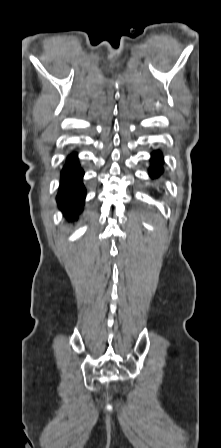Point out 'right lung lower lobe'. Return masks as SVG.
I'll return each instance as SVG.
<instances>
[{
    "label": "right lung lower lobe",
    "instance_id": "98d812e1",
    "mask_svg": "<svg viewBox=\"0 0 221 448\" xmlns=\"http://www.w3.org/2000/svg\"><path fill=\"white\" fill-rule=\"evenodd\" d=\"M68 164L62 171L60 189L57 195L59 208L70 218H77L81 212L84 199L85 188L82 184L83 170L77 161V156L72 154L68 158Z\"/></svg>",
    "mask_w": 221,
    "mask_h": 448
}]
</instances>
